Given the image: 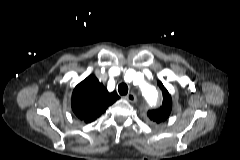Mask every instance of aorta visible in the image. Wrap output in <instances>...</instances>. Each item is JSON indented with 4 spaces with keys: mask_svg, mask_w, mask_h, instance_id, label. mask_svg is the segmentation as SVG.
Returning a JSON list of instances; mask_svg holds the SVG:
<instances>
[{
    "mask_svg": "<svg viewBox=\"0 0 240 160\" xmlns=\"http://www.w3.org/2000/svg\"><path fill=\"white\" fill-rule=\"evenodd\" d=\"M134 83L138 86L140 94L150 108H154L160 101L159 93L154 86L147 83L139 74L135 75Z\"/></svg>",
    "mask_w": 240,
    "mask_h": 160,
    "instance_id": "762f6f07",
    "label": "aorta"
}]
</instances>
